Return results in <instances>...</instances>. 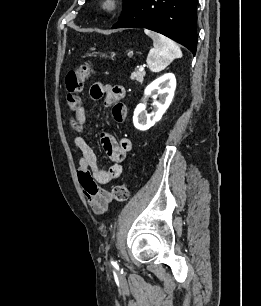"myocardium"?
<instances>
[{
  "label": "myocardium",
  "mask_w": 261,
  "mask_h": 306,
  "mask_svg": "<svg viewBox=\"0 0 261 306\" xmlns=\"http://www.w3.org/2000/svg\"><path fill=\"white\" fill-rule=\"evenodd\" d=\"M122 3V0H101L100 8L107 14H113L122 6Z\"/></svg>",
  "instance_id": "obj_1"
}]
</instances>
